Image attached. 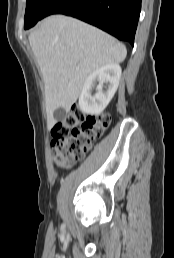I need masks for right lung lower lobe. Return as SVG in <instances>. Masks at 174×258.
<instances>
[{"mask_svg":"<svg viewBox=\"0 0 174 258\" xmlns=\"http://www.w3.org/2000/svg\"><path fill=\"white\" fill-rule=\"evenodd\" d=\"M140 11L141 0H54L43 16H72L133 45Z\"/></svg>","mask_w":174,"mask_h":258,"instance_id":"98d812e1","label":"right lung lower lobe"}]
</instances>
